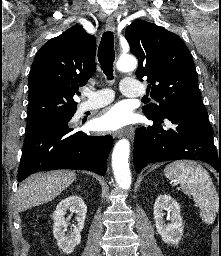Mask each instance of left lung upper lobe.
<instances>
[{
	"instance_id": "obj_1",
	"label": "left lung upper lobe",
	"mask_w": 221,
	"mask_h": 256,
	"mask_svg": "<svg viewBox=\"0 0 221 256\" xmlns=\"http://www.w3.org/2000/svg\"><path fill=\"white\" fill-rule=\"evenodd\" d=\"M125 36L139 61L136 76L147 80L150 96L158 102L142 108L148 118H160L171 110L206 111L197 89L195 64L178 35L153 23L136 21L127 27Z\"/></svg>"
}]
</instances>
